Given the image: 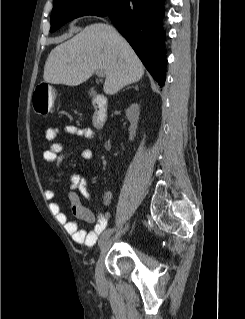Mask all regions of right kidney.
Here are the masks:
<instances>
[{"mask_svg":"<svg viewBox=\"0 0 245 319\" xmlns=\"http://www.w3.org/2000/svg\"><path fill=\"white\" fill-rule=\"evenodd\" d=\"M139 114H140V107L138 104L134 103L132 104L127 110H126V116L128 120L130 121V127H129V139L132 141L136 135V129L137 124L139 120Z\"/></svg>","mask_w":245,"mask_h":319,"instance_id":"obj_1","label":"right kidney"}]
</instances>
